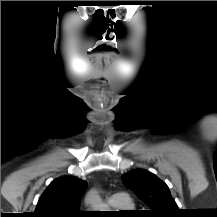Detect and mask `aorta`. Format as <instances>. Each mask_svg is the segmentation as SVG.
<instances>
[{
    "label": "aorta",
    "mask_w": 217,
    "mask_h": 217,
    "mask_svg": "<svg viewBox=\"0 0 217 217\" xmlns=\"http://www.w3.org/2000/svg\"><path fill=\"white\" fill-rule=\"evenodd\" d=\"M86 202L97 211H105L106 209L105 204L102 202L99 194L97 191L92 190L86 197Z\"/></svg>",
    "instance_id": "1"
}]
</instances>
